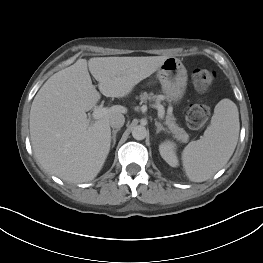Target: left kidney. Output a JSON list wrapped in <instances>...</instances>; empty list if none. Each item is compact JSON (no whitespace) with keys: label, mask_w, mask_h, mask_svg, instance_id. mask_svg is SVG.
I'll return each instance as SVG.
<instances>
[{"label":"left kidney","mask_w":263,"mask_h":263,"mask_svg":"<svg viewBox=\"0 0 263 263\" xmlns=\"http://www.w3.org/2000/svg\"><path fill=\"white\" fill-rule=\"evenodd\" d=\"M161 157L172 167L178 165V159L175 153V144L172 142H164L159 146Z\"/></svg>","instance_id":"1"}]
</instances>
